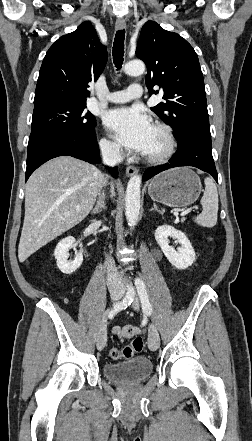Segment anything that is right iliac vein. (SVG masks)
I'll return each mask as SVG.
<instances>
[{
	"mask_svg": "<svg viewBox=\"0 0 252 441\" xmlns=\"http://www.w3.org/2000/svg\"><path fill=\"white\" fill-rule=\"evenodd\" d=\"M122 291L118 289H112L110 291V296L113 302L118 301L122 297ZM107 340V325H106V317L103 318L97 336V349L99 351L103 350L106 345Z\"/></svg>",
	"mask_w": 252,
	"mask_h": 441,
	"instance_id": "1",
	"label": "right iliac vein"
}]
</instances>
